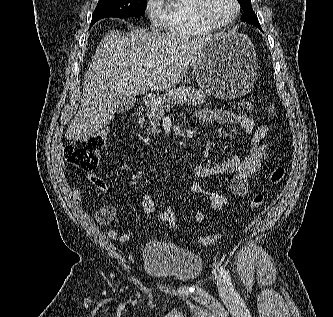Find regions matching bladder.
<instances>
[{
    "label": "bladder",
    "instance_id": "1",
    "mask_svg": "<svg viewBox=\"0 0 333 317\" xmlns=\"http://www.w3.org/2000/svg\"><path fill=\"white\" fill-rule=\"evenodd\" d=\"M142 258L148 274L181 283L196 280L203 270L200 255L177 246L148 244L143 249Z\"/></svg>",
    "mask_w": 333,
    "mask_h": 317
}]
</instances>
